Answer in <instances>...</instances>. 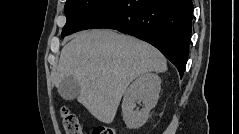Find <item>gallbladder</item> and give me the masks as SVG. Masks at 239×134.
Wrapping results in <instances>:
<instances>
[{"label":"gallbladder","mask_w":239,"mask_h":134,"mask_svg":"<svg viewBox=\"0 0 239 134\" xmlns=\"http://www.w3.org/2000/svg\"><path fill=\"white\" fill-rule=\"evenodd\" d=\"M59 95L65 100L75 99L80 92V86L73 77L64 78L57 86Z\"/></svg>","instance_id":"gallbladder-1"}]
</instances>
